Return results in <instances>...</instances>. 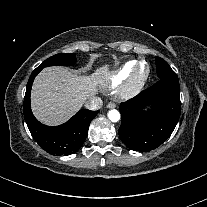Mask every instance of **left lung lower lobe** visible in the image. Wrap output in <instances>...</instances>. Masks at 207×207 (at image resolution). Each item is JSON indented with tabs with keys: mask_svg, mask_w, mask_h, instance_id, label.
Wrapping results in <instances>:
<instances>
[{
	"mask_svg": "<svg viewBox=\"0 0 207 207\" xmlns=\"http://www.w3.org/2000/svg\"><path fill=\"white\" fill-rule=\"evenodd\" d=\"M119 109L122 116L119 136L124 144L140 152L157 148L172 134L179 120L177 75L159 79L137 97L122 102Z\"/></svg>",
	"mask_w": 207,
	"mask_h": 207,
	"instance_id": "left-lung-lower-lobe-1",
	"label": "left lung lower lobe"
}]
</instances>
